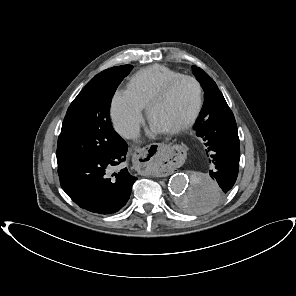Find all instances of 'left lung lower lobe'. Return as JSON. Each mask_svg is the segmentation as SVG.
Returning a JSON list of instances; mask_svg holds the SVG:
<instances>
[{
	"instance_id": "1",
	"label": "left lung lower lobe",
	"mask_w": 296,
	"mask_h": 296,
	"mask_svg": "<svg viewBox=\"0 0 296 296\" xmlns=\"http://www.w3.org/2000/svg\"><path fill=\"white\" fill-rule=\"evenodd\" d=\"M198 136L202 138L205 152L213 169L209 175L219 187L204 185L199 191L191 190L184 206L195 209H208L222 200L236 182L240 146L236 121L226 101L215 107L198 127Z\"/></svg>"
}]
</instances>
